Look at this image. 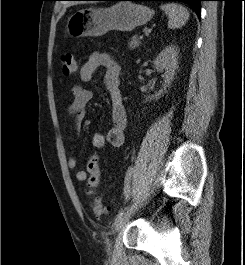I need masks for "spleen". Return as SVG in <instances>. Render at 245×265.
Segmentation results:
<instances>
[{"instance_id": "obj_1", "label": "spleen", "mask_w": 245, "mask_h": 265, "mask_svg": "<svg viewBox=\"0 0 245 265\" xmlns=\"http://www.w3.org/2000/svg\"><path fill=\"white\" fill-rule=\"evenodd\" d=\"M161 9L168 15V27L180 28L189 19V12L186 8L175 3H169L161 6Z\"/></svg>"}]
</instances>
